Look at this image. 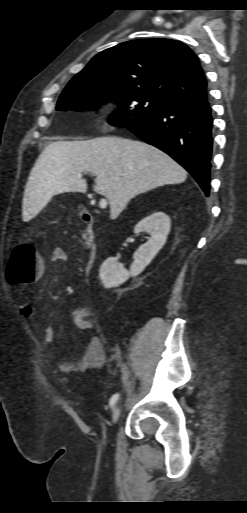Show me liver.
<instances>
[{
  "instance_id": "obj_1",
  "label": "liver",
  "mask_w": 247,
  "mask_h": 513,
  "mask_svg": "<svg viewBox=\"0 0 247 513\" xmlns=\"http://www.w3.org/2000/svg\"><path fill=\"white\" fill-rule=\"evenodd\" d=\"M96 176L94 191L105 196L116 219L135 196L163 185L180 184L186 170L158 148L138 140L96 137L52 142L36 160L28 178L23 217L36 216L53 195L85 193L86 180Z\"/></svg>"
}]
</instances>
